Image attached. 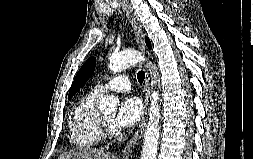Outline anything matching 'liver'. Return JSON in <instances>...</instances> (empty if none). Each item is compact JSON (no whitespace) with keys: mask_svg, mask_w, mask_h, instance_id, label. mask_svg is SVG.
Returning <instances> with one entry per match:
<instances>
[{"mask_svg":"<svg viewBox=\"0 0 253 159\" xmlns=\"http://www.w3.org/2000/svg\"><path fill=\"white\" fill-rule=\"evenodd\" d=\"M58 159H118L114 154L103 149L78 148L65 152Z\"/></svg>","mask_w":253,"mask_h":159,"instance_id":"obj_1","label":"liver"}]
</instances>
